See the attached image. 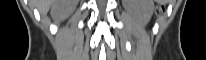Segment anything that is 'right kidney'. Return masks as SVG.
<instances>
[{"mask_svg":"<svg viewBox=\"0 0 206 60\" xmlns=\"http://www.w3.org/2000/svg\"><path fill=\"white\" fill-rule=\"evenodd\" d=\"M71 11L72 9L67 7L66 2H57L52 6V16L57 19L66 17Z\"/></svg>","mask_w":206,"mask_h":60,"instance_id":"1","label":"right kidney"}]
</instances>
